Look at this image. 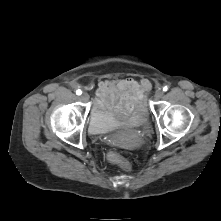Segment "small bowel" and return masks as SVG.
<instances>
[{
    "mask_svg": "<svg viewBox=\"0 0 221 221\" xmlns=\"http://www.w3.org/2000/svg\"><path fill=\"white\" fill-rule=\"evenodd\" d=\"M150 87L147 79L103 80L98 87V102L109 109L124 108L134 112L143 107L142 101Z\"/></svg>",
    "mask_w": 221,
    "mask_h": 221,
    "instance_id": "small-bowel-1",
    "label": "small bowel"
}]
</instances>
